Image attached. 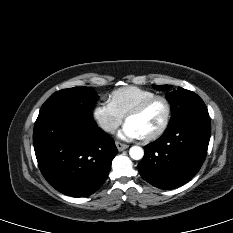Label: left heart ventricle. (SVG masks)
<instances>
[{"mask_svg": "<svg viewBox=\"0 0 233 233\" xmlns=\"http://www.w3.org/2000/svg\"><path fill=\"white\" fill-rule=\"evenodd\" d=\"M165 114L166 108L164 103L156 101L140 115L129 118L126 123L134 126L141 137H144L160 128L165 119Z\"/></svg>", "mask_w": 233, "mask_h": 233, "instance_id": "left-heart-ventricle-1", "label": "left heart ventricle"}]
</instances>
